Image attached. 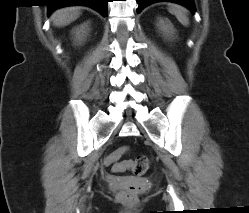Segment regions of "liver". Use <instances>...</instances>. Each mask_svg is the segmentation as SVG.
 Wrapping results in <instances>:
<instances>
[{"mask_svg":"<svg viewBox=\"0 0 249 213\" xmlns=\"http://www.w3.org/2000/svg\"><path fill=\"white\" fill-rule=\"evenodd\" d=\"M80 16L79 7H66L56 10L51 15V21L55 26H66L75 21Z\"/></svg>","mask_w":249,"mask_h":213,"instance_id":"obj_1","label":"liver"}]
</instances>
